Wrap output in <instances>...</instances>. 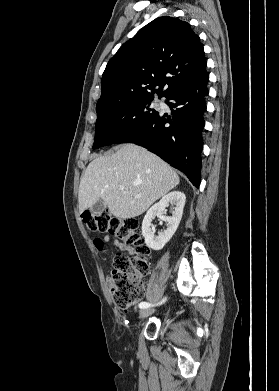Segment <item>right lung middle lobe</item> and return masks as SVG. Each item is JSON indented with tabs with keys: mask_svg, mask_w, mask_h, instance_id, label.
I'll return each instance as SVG.
<instances>
[{
	"mask_svg": "<svg viewBox=\"0 0 279 391\" xmlns=\"http://www.w3.org/2000/svg\"><path fill=\"white\" fill-rule=\"evenodd\" d=\"M152 99H141L97 114L93 148L115 143L129 130L153 119L159 112L149 107Z\"/></svg>",
	"mask_w": 279,
	"mask_h": 391,
	"instance_id": "right-lung-middle-lobe-1",
	"label": "right lung middle lobe"
}]
</instances>
